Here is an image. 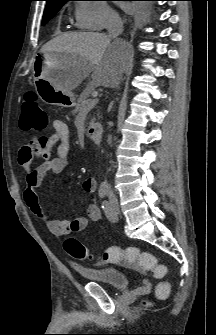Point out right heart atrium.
I'll list each match as a JSON object with an SVG mask.
<instances>
[{
    "instance_id": "obj_1",
    "label": "right heart atrium",
    "mask_w": 216,
    "mask_h": 335,
    "mask_svg": "<svg viewBox=\"0 0 216 335\" xmlns=\"http://www.w3.org/2000/svg\"><path fill=\"white\" fill-rule=\"evenodd\" d=\"M75 17L80 28L102 30L108 23L120 21L116 11L103 2L82 1L76 5Z\"/></svg>"
}]
</instances>
